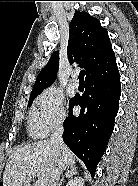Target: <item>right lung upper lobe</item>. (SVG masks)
Wrapping results in <instances>:
<instances>
[{"label":"right lung upper lobe","instance_id":"obj_1","mask_svg":"<svg viewBox=\"0 0 138 186\" xmlns=\"http://www.w3.org/2000/svg\"><path fill=\"white\" fill-rule=\"evenodd\" d=\"M71 63L85 68V81L105 79L119 74L115 54L107 30L87 12L77 11L70 23L67 48ZM59 68V54L54 52L36 78L31 95L40 94L55 80Z\"/></svg>","mask_w":138,"mask_h":186}]
</instances>
